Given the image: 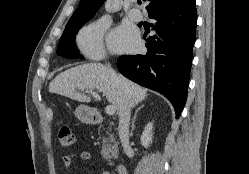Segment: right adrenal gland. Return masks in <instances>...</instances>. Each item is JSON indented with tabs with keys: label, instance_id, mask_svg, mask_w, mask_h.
<instances>
[{
	"label": "right adrenal gland",
	"instance_id": "right-adrenal-gland-1",
	"mask_svg": "<svg viewBox=\"0 0 249 174\" xmlns=\"http://www.w3.org/2000/svg\"><path fill=\"white\" fill-rule=\"evenodd\" d=\"M143 107H144V105H141V106H140L139 108H137L136 111H135V114H134V117H133V120H132V129H131L130 136L133 135V131H134V129H135V120H136L137 114H138L139 110H140L141 108H143Z\"/></svg>",
	"mask_w": 249,
	"mask_h": 174
}]
</instances>
